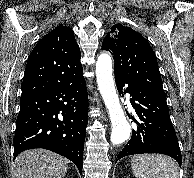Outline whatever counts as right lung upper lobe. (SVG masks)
Returning a JSON list of instances; mask_svg holds the SVG:
<instances>
[{
  "mask_svg": "<svg viewBox=\"0 0 194 178\" xmlns=\"http://www.w3.org/2000/svg\"><path fill=\"white\" fill-rule=\"evenodd\" d=\"M81 53L71 28L61 24L38 41L28 57L22 96L83 78Z\"/></svg>",
  "mask_w": 194,
  "mask_h": 178,
  "instance_id": "obj_1",
  "label": "right lung upper lobe"
}]
</instances>
